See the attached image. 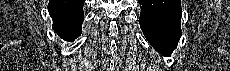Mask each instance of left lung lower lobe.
<instances>
[{
  "label": "left lung lower lobe",
  "instance_id": "1",
  "mask_svg": "<svg viewBox=\"0 0 230 71\" xmlns=\"http://www.w3.org/2000/svg\"><path fill=\"white\" fill-rule=\"evenodd\" d=\"M140 27L148 42L163 56H170L181 36V0H138Z\"/></svg>",
  "mask_w": 230,
  "mask_h": 71
}]
</instances>
